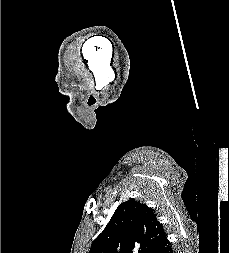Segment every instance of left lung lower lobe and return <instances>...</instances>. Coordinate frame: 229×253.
Returning a JSON list of instances; mask_svg holds the SVG:
<instances>
[{
	"label": "left lung lower lobe",
	"mask_w": 229,
	"mask_h": 253,
	"mask_svg": "<svg viewBox=\"0 0 229 253\" xmlns=\"http://www.w3.org/2000/svg\"><path fill=\"white\" fill-rule=\"evenodd\" d=\"M154 253H173L172 245L167 237L161 241Z\"/></svg>",
	"instance_id": "1"
}]
</instances>
